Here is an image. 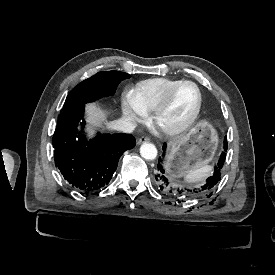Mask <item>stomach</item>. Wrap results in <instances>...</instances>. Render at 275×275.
Listing matches in <instances>:
<instances>
[{
  "label": "stomach",
  "mask_w": 275,
  "mask_h": 275,
  "mask_svg": "<svg viewBox=\"0 0 275 275\" xmlns=\"http://www.w3.org/2000/svg\"><path fill=\"white\" fill-rule=\"evenodd\" d=\"M217 146L214 129L203 122L170 144L165 168L173 176H183L212 161Z\"/></svg>",
  "instance_id": "0dacf381"
}]
</instances>
